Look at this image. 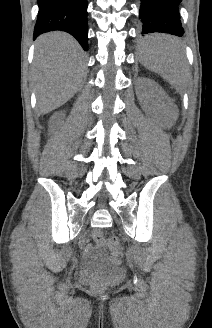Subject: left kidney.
Returning <instances> with one entry per match:
<instances>
[{
  "mask_svg": "<svg viewBox=\"0 0 212 328\" xmlns=\"http://www.w3.org/2000/svg\"><path fill=\"white\" fill-rule=\"evenodd\" d=\"M138 99L144 109H147L146 99L148 95H152L158 99L163 113V124L170 127L178 117V109L172 99L154 82L143 78L137 85Z\"/></svg>",
  "mask_w": 212,
  "mask_h": 328,
  "instance_id": "left-kidney-1",
  "label": "left kidney"
}]
</instances>
